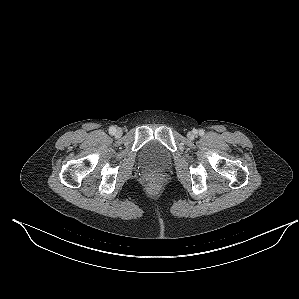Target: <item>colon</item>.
<instances>
[{
	"label": "colon",
	"mask_w": 299,
	"mask_h": 299,
	"mask_svg": "<svg viewBox=\"0 0 299 299\" xmlns=\"http://www.w3.org/2000/svg\"><path fill=\"white\" fill-rule=\"evenodd\" d=\"M157 186V183L155 181L151 182V187L155 188Z\"/></svg>",
	"instance_id": "5ec220e1"
}]
</instances>
